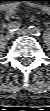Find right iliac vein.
Wrapping results in <instances>:
<instances>
[{
  "instance_id": "1",
  "label": "right iliac vein",
  "mask_w": 50,
  "mask_h": 111,
  "mask_svg": "<svg viewBox=\"0 0 50 111\" xmlns=\"http://www.w3.org/2000/svg\"><path fill=\"white\" fill-rule=\"evenodd\" d=\"M13 36H14V34H13L12 32H8V33L6 34V36H5V38H6L7 40H11V39L13 38Z\"/></svg>"
}]
</instances>
